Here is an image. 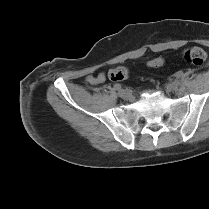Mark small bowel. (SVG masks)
<instances>
[{"mask_svg": "<svg viewBox=\"0 0 209 209\" xmlns=\"http://www.w3.org/2000/svg\"><path fill=\"white\" fill-rule=\"evenodd\" d=\"M104 80H105V74L104 73H100L97 76H89L87 78V81L90 84H93V85L99 84V83L103 82Z\"/></svg>", "mask_w": 209, "mask_h": 209, "instance_id": "obj_1", "label": "small bowel"}]
</instances>
